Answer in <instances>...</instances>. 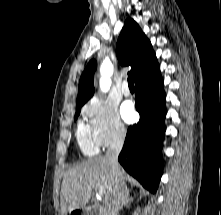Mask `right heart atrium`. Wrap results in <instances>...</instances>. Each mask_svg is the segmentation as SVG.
Here are the masks:
<instances>
[{"label": "right heart atrium", "instance_id": "1", "mask_svg": "<svg viewBox=\"0 0 221 215\" xmlns=\"http://www.w3.org/2000/svg\"><path fill=\"white\" fill-rule=\"evenodd\" d=\"M89 130L98 146L107 147L122 141L126 128L116 106L104 99L93 98L83 108Z\"/></svg>", "mask_w": 221, "mask_h": 215}]
</instances>
